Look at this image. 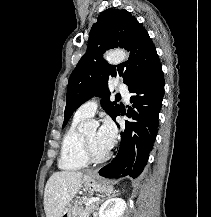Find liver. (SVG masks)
Listing matches in <instances>:
<instances>
[{
	"instance_id": "liver-1",
	"label": "liver",
	"mask_w": 211,
	"mask_h": 217,
	"mask_svg": "<svg viewBox=\"0 0 211 217\" xmlns=\"http://www.w3.org/2000/svg\"><path fill=\"white\" fill-rule=\"evenodd\" d=\"M82 172L60 171L51 175L45 186L46 217H60L82 186Z\"/></svg>"
}]
</instances>
